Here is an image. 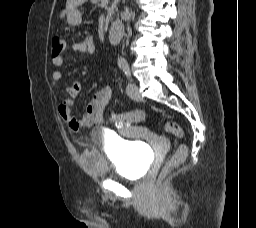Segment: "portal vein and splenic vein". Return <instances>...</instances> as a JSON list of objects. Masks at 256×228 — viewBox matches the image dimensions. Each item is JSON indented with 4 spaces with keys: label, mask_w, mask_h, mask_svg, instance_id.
I'll use <instances>...</instances> for the list:
<instances>
[{
    "label": "portal vein and splenic vein",
    "mask_w": 256,
    "mask_h": 228,
    "mask_svg": "<svg viewBox=\"0 0 256 228\" xmlns=\"http://www.w3.org/2000/svg\"><path fill=\"white\" fill-rule=\"evenodd\" d=\"M109 0H102V3H108Z\"/></svg>",
    "instance_id": "obj_1"
}]
</instances>
